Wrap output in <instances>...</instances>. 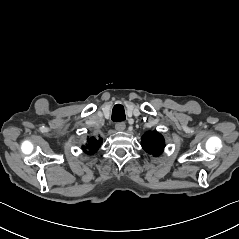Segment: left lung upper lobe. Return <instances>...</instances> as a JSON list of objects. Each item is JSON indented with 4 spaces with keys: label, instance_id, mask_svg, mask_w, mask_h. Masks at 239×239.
Returning a JSON list of instances; mask_svg holds the SVG:
<instances>
[{
    "label": "left lung upper lobe",
    "instance_id": "obj_1",
    "mask_svg": "<svg viewBox=\"0 0 239 239\" xmlns=\"http://www.w3.org/2000/svg\"><path fill=\"white\" fill-rule=\"evenodd\" d=\"M142 148L154 157L162 154L165 148V141L163 136L156 131H148L143 134L141 138Z\"/></svg>",
    "mask_w": 239,
    "mask_h": 239
}]
</instances>
